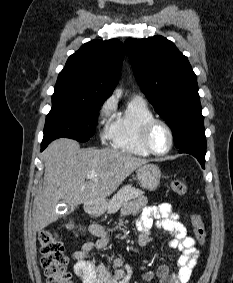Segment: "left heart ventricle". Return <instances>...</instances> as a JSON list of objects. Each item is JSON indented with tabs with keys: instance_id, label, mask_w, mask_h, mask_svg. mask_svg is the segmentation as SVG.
<instances>
[{
	"instance_id": "1",
	"label": "left heart ventricle",
	"mask_w": 233,
	"mask_h": 283,
	"mask_svg": "<svg viewBox=\"0 0 233 283\" xmlns=\"http://www.w3.org/2000/svg\"><path fill=\"white\" fill-rule=\"evenodd\" d=\"M149 141L155 151L162 152L169 146V135L162 125L157 124L151 130Z\"/></svg>"
}]
</instances>
